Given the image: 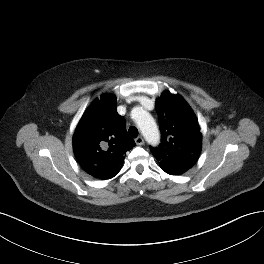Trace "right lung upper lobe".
<instances>
[{
  "instance_id": "right-lung-upper-lobe-1",
  "label": "right lung upper lobe",
  "mask_w": 264,
  "mask_h": 264,
  "mask_svg": "<svg viewBox=\"0 0 264 264\" xmlns=\"http://www.w3.org/2000/svg\"><path fill=\"white\" fill-rule=\"evenodd\" d=\"M125 124L112 94L102 95L88 107L73 135L75 157L88 174L105 180L120 171L126 152L135 146Z\"/></svg>"
}]
</instances>
